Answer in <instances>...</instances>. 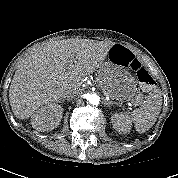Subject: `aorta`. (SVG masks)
<instances>
[{"label":"aorta","mask_w":178,"mask_h":178,"mask_svg":"<svg viewBox=\"0 0 178 178\" xmlns=\"http://www.w3.org/2000/svg\"><path fill=\"white\" fill-rule=\"evenodd\" d=\"M87 100L92 104V105H98L100 102V97L97 94H89L87 97Z\"/></svg>","instance_id":"aorta-1"}]
</instances>
